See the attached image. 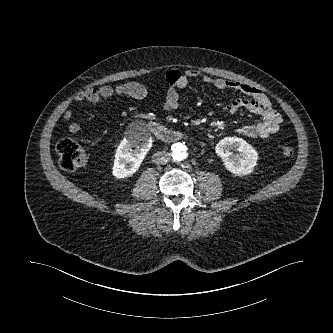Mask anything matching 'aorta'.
I'll return each mask as SVG.
<instances>
[{
  "mask_svg": "<svg viewBox=\"0 0 333 333\" xmlns=\"http://www.w3.org/2000/svg\"><path fill=\"white\" fill-rule=\"evenodd\" d=\"M173 158L177 161H182L187 157V147L182 143H177L172 146Z\"/></svg>",
  "mask_w": 333,
  "mask_h": 333,
  "instance_id": "1",
  "label": "aorta"
}]
</instances>
